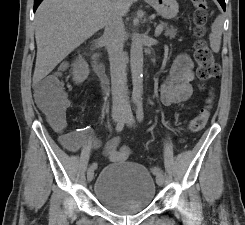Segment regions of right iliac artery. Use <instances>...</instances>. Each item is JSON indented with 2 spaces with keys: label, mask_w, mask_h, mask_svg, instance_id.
<instances>
[{
  "label": "right iliac artery",
  "mask_w": 245,
  "mask_h": 225,
  "mask_svg": "<svg viewBox=\"0 0 245 225\" xmlns=\"http://www.w3.org/2000/svg\"><path fill=\"white\" fill-rule=\"evenodd\" d=\"M124 123H125V118L122 119V120H120V121L117 123V125H116V131H117V132H121V131L123 130ZM91 168H92V169H96V168H97V164H96V163H93V164L91 165Z\"/></svg>",
  "instance_id": "obj_1"
}]
</instances>
